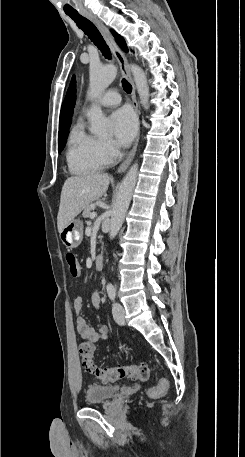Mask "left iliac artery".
Wrapping results in <instances>:
<instances>
[{
  "instance_id": "44dca946",
  "label": "left iliac artery",
  "mask_w": 245,
  "mask_h": 457,
  "mask_svg": "<svg viewBox=\"0 0 245 457\" xmlns=\"http://www.w3.org/2000/svg\"><path fill=\"white\" fill-rule=\"evenodd\" d=\"M106 289H107V293H108L109 298H110L111 300H114L115 297H116V288H115V286H113V285H108V286L106 287Z\"/></svg>"
}]
</instances>
